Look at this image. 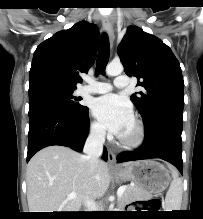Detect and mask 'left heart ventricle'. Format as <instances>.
Wrapping results in <instances>:
<instances>
[{"label":"left heart ventricle","instance_id":"b2bd125f","mask_svg":"<svg viewBox=\"0 0 203 219\" xmlns=\"http://www.w3.org/2000/svg\"><path fill=\"white\" fill-rule=\"evenodd\" d=\"M134 135V125L133 122H131L119 135L124 138H131Z\"/></svg>","mask_w":203,"mask_h":219}]
</instances>
